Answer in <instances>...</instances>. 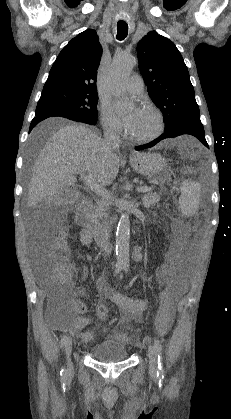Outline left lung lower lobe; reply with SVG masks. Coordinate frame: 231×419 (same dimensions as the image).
I'll use <instances>...</instances> for the list:
<instances>
[{
	"label": "left lung lower lobe",
	"instance_id": "0a47b994",
	"mask_svg": "<svg viewBox=\"0 0 231 419\" xmlns=\"http://www.w3.org/2000/svg\"><path fill=\"white\" fill-rule=\"evenodd\" d=\"M184 134L192 135L198 138L201 143H203L206 147L209 148L205 139L204 128L201 121H187V122L182 123L181 125H179L177 128L173 130L164 132L159 138L155 139L154 141L148 144L142 145V146H137L135 147V149L143 150V149L154 146L155 144H157L159 141L163 139L173 138V137H177Z\"/></svg>",
	"mask_w": 231,
	"mask_h": 419
}]
</instances>
